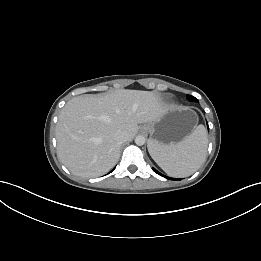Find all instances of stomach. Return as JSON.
<instances>
[{
  "mask_svg": "<svg viewBox=\"0 0 261 261\" xmlns=\"http://www.w3.org/2000/svg\"><path fill=\"white\" fill-rule=\"evenodd\" d=\"M198 116L187 107H170L155 121L144 124L141 130L150 135V141L166 146L190 135L196 128Z\"/></svg>",
  "mask_w": 261,
  "mask_h": 261,
  "instance_id": "stomach-1",
  "label": "stomach"
}]
</instances>
